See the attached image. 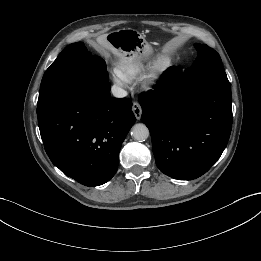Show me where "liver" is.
I'll list each match as a JSON object with an SVG mask.
<instances>
[{"label": "liver", "instance_id": "6515ba94", "mask_svg": "<svg viewBox=\"0 0 261 261\" xmlns=\"http://www.w3.org/2000/svg\"><path fill=\"white\" fill-rule=\"evenodd\" d=\"M96 47L100 50H107L112 52L114 55L120 57L122 60H126V56L114 48L108 41H107V34L100 35L96 38Z\"/></svg>", "mask_w": 261, "mask_h": 261}]
</instances>
